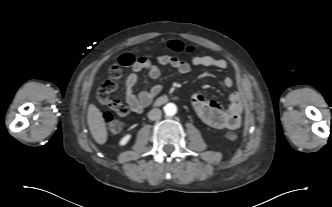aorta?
I'll use <instances>...</instances> for the list:
<instances>
[{
  "label": "aorta",
  "mask_w": 332,
  "mask_h": 207,
  "mask_svg": "<svg viewBox=\"0 0 332 207\" xmlns=\"http://www.w3.org/2000/svg\"><path fill=\"white\" fill-rule=\"evenodd\" d=\"M163 109L167 116H173L177 112V107L174 103L166 104Z\"/></svg>",
  "instance_id": "aorta-1"
}]
</instances>
